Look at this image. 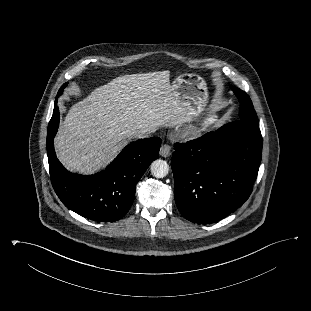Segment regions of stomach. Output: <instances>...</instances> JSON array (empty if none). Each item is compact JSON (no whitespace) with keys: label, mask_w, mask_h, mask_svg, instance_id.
<instances>
[{"label":"stomach","mask_w":311,"mask_h":311,"mask_svg":"<svg viewBox=\"0 0 311 311\" xmlns=\"http://www.w3.org/2000/svg\"><path fill=\"white\" fill-rule=\"evenodd\" d=\"M177 92L179 99L189 106L194 113L205 110L208 103V91L205 80L194 73L179 75L172 85ZM205 121L207 124L216 121V114L213 111H206Z\"/></svg>","instance_id":"stomach-1"}]
</instances>
